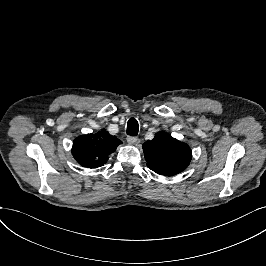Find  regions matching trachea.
I'll use <instances>...</instances> for the list:
<instances>
[{"mask_svg": "<svg viewBox=\"0 0 266 266\" xmlns=\"http://www.w3.org/2000/svg\"><path fill=\"white\" fill-rule=\"evenodd\" d=\"M138 122L134 118H131L127 123V134L130 136H136L138 134Z\"/></svg>", "mask_w": 266, "mask_h": 266, "instance_id": "1", "label": "trachea"}]
</instances>
